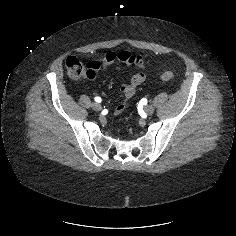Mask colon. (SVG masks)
Returning <instances> with one entry per match:
<instances>
[{"label":"colon","mask_w":236,"mask_h":236,"mask_svg":"<svg viewBox=\"0 0 236 236\" xmlns=\"http://www.w3.org/2000/svg\"><path fill=\"white\" fill-rule=\"evenodd\" d=\"M65 68L68 76L71 79L78 80L82 78H90L92 76V72L87 67V65L83 64L77 57L69 56L65 60ZM162 81L169 82L173 80L174 74L170 71L164 72L160 76Z\"/></svg>","instance_id":"obj_1"}]
</instances>
